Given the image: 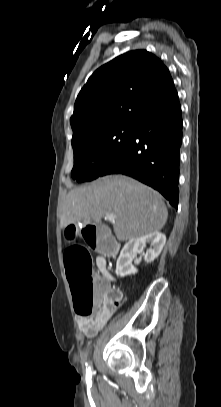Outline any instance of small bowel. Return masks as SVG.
Masks as SVG:
<instances>
[{"instance_id": "1", "label": "small bowel", "mask_w": 221, "mask_h": 407, "mask_svg": "<svg viewBox=\"0 0 221 407\" xmlns=\"http://www.w3.org/2000/svg\"><path fill=\"white\" fill-rule=\"evenodd\" d=\"M96 266L98 269L96 278L98 279L99 286L121 300L123 297L122 292L118 289H113L111 286L115 278L108 269L106 258L102 255L97 256ZM114 310L115 306H103L92 316H78L77 324L86 336L94 337L106 325Z\"/></svg>"}]
</instances>
